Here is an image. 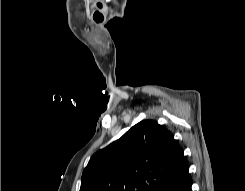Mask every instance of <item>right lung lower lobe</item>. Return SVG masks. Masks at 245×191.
<instances>
[{
  "label": "right lung lower lobe",
  "mask_w": 245,
  "mask_h": 191,
  "mask_svg": "<svg viewBox=\"0 0 245 191\" xmlns=\"http://www.w3.org/2000/svg\"><path fill=\"white\" fill-rule=\"evenodd\" d=\"M192 183L189 176V170H186L176 179L166 183L158 191H192Z\"/></svg>",
  "instance_id": "98d812e1"
}]
</instances>
